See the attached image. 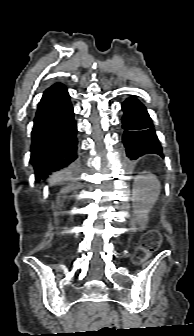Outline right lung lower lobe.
I'll return each mask as SVG.
<instances>
[{
  "instance_id": "obj_1",
  "label": "right lung lower lobe",
  "mask_w": 194,
  "mask_h": 336,
  "mask_svg": "<svg viewBox=\"0 0 194 336\" xmlns=\"http://www.w3.org/2000/svg\"><path fill=\"white\" fill-rule=\"evenodd\" d=\"M76 132L67 89L54 84L44 92L34 119L30 162L36 181L77 159Z\"/></svg>"
}]
</instances>
